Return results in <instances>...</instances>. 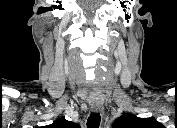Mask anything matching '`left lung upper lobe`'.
Masks as SVG:
<instances>
[{
    "mask_svg": "<svg viewBox=\"0 0 177 128\" xmlns=\"http://www.w3.org/2000/svg\"><path fill=\"white\" fill-rule=\"evenodd\" d=\"M160 125L154 118H139L134 114H125L115 120L113 128H158Z\"/></svg>",
    "mask_w": 177,
    "mask_h": 128,
    "instance_id": "1",
    "label": "left lung upper lobe"
}]
</instances>
